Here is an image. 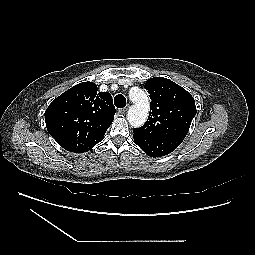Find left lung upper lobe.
I'll return each instance as SVG.
<instances>
[{"mask_svg":"<svg viewBox=\"0 0 255 255\" xmlns=\"http://www.w3.org/2000/svg\"><path fill=\"white\" fill-rule=\"evenodd\" d=\"M150 94V113L146 123L133 129L141 137L184 139L196 115L194 98L173 81L154 77L145 83Z\"/></svg>","mask_w":255,"mask_h":255,"instance_id":"1","label":"left lung upper lobe"}]
</instances>
